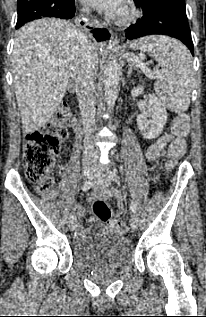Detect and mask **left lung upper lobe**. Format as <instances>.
<instances>
[{
  "instance_id": "1",
  "label": "left lung upper lobe",
  "mask_w": 206,
  "mask_h": 317,
  "mask_svg": "<svg viewBox=\"0 0 206 317\" xmlns=\"http://www.w3.org/2000/svg\"><path fill=\"white\" fill-rule=\"evenodd\" d=\"M137 7L143 10L154 8H173L185 11V0H134Z\"/></svg>"
}]
</instances>
